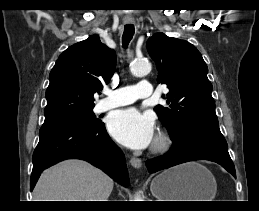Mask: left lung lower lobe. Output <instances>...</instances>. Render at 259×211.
Listing matches in <instances>:
<instances>
[{
  "instance_id": "obj_1",
  "label": "left lung lower lobe",
  "mask_w": 259,
  "mask_h": 211,
  "mask_svg": "<svg viewBox=\"0 0 259 211\" xmlns=\"http://www.w3.org/2000/svg\"><path fill=\"white\" fill-rule=\"evenodd\" d=\"M194 160L216 162L236 177L235 167L223 135L220 132L203 129L192 130L182 138L173 141V146L169 152L148 160L146 166L150 173H154Z\"/></svg>"
}]
</instances>
